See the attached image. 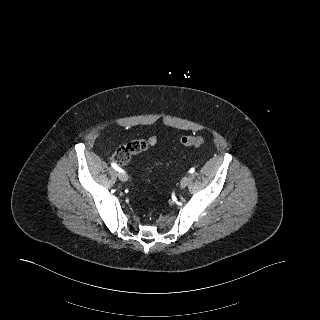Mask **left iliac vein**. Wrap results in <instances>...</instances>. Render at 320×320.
<instances>
[{
    "label": "left iliac vein",
    "mask_w": 320,
    "mask_h": 320,
    "mask_svg": "<svg viewBox=\"0 0 320 320\" xmlns=\"http://www.w3.org/2000/svg\"><path fill=\"white\" fill-rule=\"evenodd\" d=\"M189 181H190L189 176L183 177L180 181V188L182 189L185 188L188 185Z\"/></svg>",
    "instance_id": "left-iliac-vein-1"
}]
</instances>
